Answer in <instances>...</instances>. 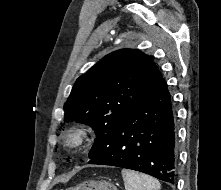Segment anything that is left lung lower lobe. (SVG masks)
<instances>
[{
  "label": "left lung lower lobe",
  "instance_id": "0a47b994",
  "mask_svg": "<svg viewBox=\"0 0 221 190\" xmlns=\"http://www.w3.org/2000/svg\"><path fill=\"white\" fill-rule=\"evenodd\" d=\"M175 142L173 105L161 78L141 104L115 126L107 147L89 164L137 170L174 184Z\"/></svg>",
  "mask_w": 221,
  "mask_h": 190
}]
</instances>
